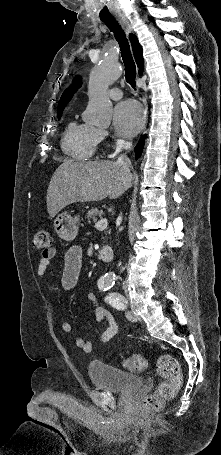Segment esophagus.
<instances>
[{
  "instance_id": "34e87169",
  "label": "esophagus",
  "mask_w": 221,
  "mask_h": 455,
  "mask_svg": "<svg viewBox=\"0 0 221 455\" xmlns=\"http://www.w3.org/2000/svg\"><path fill=\"white\" fill-rule=\"evenodd\" d=\"M116 19L127 34L132 32L130 23L124 15H118V16H116ZM146 110H147V106H146Z\"/></svg>"
}]
</instances>
